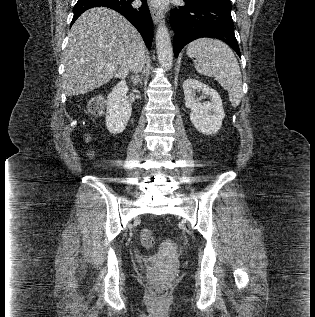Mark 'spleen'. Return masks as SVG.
Returning a JSON list of instances; mask_svg holds the SVG:
<instances>
[{
  "instance_id": "1",
  "label": "spleen",
  "mask_w": 315,
  "mask_h": 317,
  "mask_svg": "<svg viewBox=\"0 0 315 317\" xmlns=\"http://www.w3.org/2000/svg\"><path fill=\"white\" fill-rule=\"evenodd\" d=\"M187 55L195 58V69L198 73L214 77L228 91L233 107H237L242 97V76L238 61L223 41L211 38H200L187 47Z\"/></svg>"
}]
</instances>
